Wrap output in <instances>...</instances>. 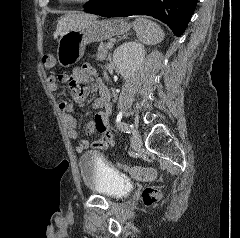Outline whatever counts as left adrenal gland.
Wrapping results in <instances>:
<instances>
[{"label": "left adrenal gland", "mask_w": 240, "mask_h": 238, "mask_svg": "<svg viewBox=\"0 0 240 238\" xmlns=\"http://www.w3.org/2000/svg\"><path fill=\"white\" fill-rule=\"evenodd\" d=\"M127 37V35H124L121 39H125Z\"/></svg>", "instance_id": "obj_1"}]
</instances>
